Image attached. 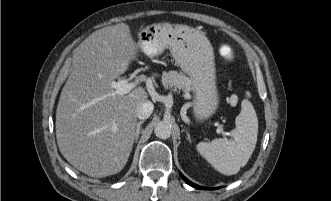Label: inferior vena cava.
<instances>
[{
	"label": "inferior vena cava",
	"instance_id": "obj_1",
	"mask_svg": "<svg viewBox=\"0 0 331 201\" xmlns=\"http://www.w3.org/2000/svg\"><path fill=\"white\" fill-rule=\"evenodd\" d=\"M154 105L151 101L145 100L137 108L136 115L139 119H147L152 114Z\"/></svg>",
	"mask_w": 331,
	"mask_h": 201
}]
</instances>
